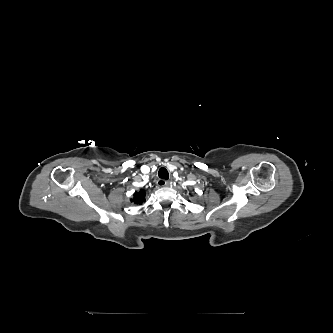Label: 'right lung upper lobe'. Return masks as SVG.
Here are the masks:
<instances>
[{
	"instance_id": "obj_1",
	"label": "right lung upper lobe",
	"mask_w": 333,
	"mask_h": 333,
	"mask_svg": "<svg viewBox=\"0 0 333 333\" xmlns=\"http://www.w3.org/2000/svg\"><path fill=\"white\" fill-rule=\"evenodd\" d=\"M131 201L135 204H142L145 202V191L140 190L139 192L134 193V198Z\"/></svg>"
}]
</instances>
